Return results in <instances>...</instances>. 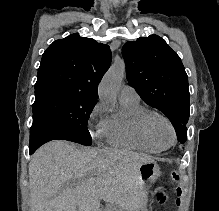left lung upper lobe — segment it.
Segmentation results:
<instances>
[{
  "label": "left lung upper lobe",
  "mask_w": 219,
  "mask_h": 211,
  "mask_svg": "<svg viewBox=\"0 0 219 211\" xmlns=\"http://www.w3.org/2000/svg\"><path fill=\"white\" fill-rule=\"evenodd\" d=\"M122 54L129 85L146 104L166 115L184 143L190 107L188 77L180 57L157 35L126 42Z\"/></svg>",
  "instance_id": "left-lung-upper-lobe-1"
}]
</instances>
